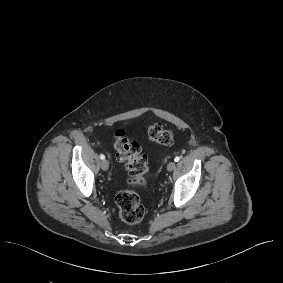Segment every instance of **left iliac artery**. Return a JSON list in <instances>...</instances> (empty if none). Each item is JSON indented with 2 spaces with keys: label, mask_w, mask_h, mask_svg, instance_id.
<instances>
[{
  "label": "left iliac artery",
  "mask_w": 283,
  "mask_h": 283,
  "mask_svg": "<svg viewBox=\"0 0 283 283\" xmlns=\"http://www.w3.org/2000/svg\"><path fill=\"white\" fill-rule=\"evenodd\" d=\"M179 160H180V157H178V156L175 157V159H174L175 162H178Z\"/></svg>",
  "instance_id": "left-iliac-artery-1"
}]
</instances>
